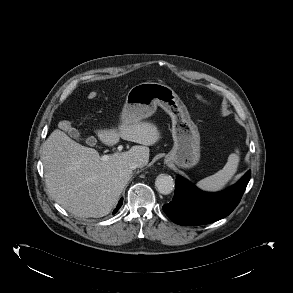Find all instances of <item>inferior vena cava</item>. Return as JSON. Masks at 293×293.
<instances>
[{"label": "inferior vena cava", "instance_id": "inferior-vena-cava-1", "mask_svg": "<svg viewBox=\"0 0 293 293\" xmlns=\"http://www.w3.org/2000/svg\"><path fill=\"white\" fill-rule=\"evenodd\" d=\"M129 168L130 169H132V170H134V169H136V168H138V167H143L144 166V164L142 163V162H129Z\"/></svg>", "mask_w": 293, "mask_h": 293}]
</instances>
